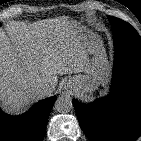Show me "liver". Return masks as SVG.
Returning a JSON list of instances; mask_svg holds the SVG:
<instances>
[{
	"label": "liver",
	"mask_w": 141,
	"mask_h": 141,
	"mask_svg": "<svg viewBox=\"0 0 141 141\" xmlns=\"http://www.w3.org/2000/svg\"><path fill=\"white\" fill-rule=\"evenodd\" d=\"M79 28L77 21L64 16L0 32L2 103L14 110L25 108L42 97L35 90L41 80L55 85L58 77L66 74L95 77L105 62V51L100 46L90 52L82 38H76Z\"/></svg>",
	"instance_id": "6515ba94"
}]
</instances>
